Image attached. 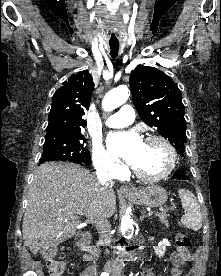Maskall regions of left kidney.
<instances>
[{
    "label": "left kidney",
    "instance_id": "left-kidney-1",
    "mask_svg": "<svg viewBox=\"0 0 221 276\" xmlns=\"http://www.w3.org/2000/svg\"><path fill=\"white\" fill-rule=\"evenodd\" d=\"M170 246V243L167 239H163L158 243V246L154 247L155 254L161 258L166 252V247Z\"/></svg>",
    "mask_w": 221,
    "mask_h": 276
}]
</instances>
